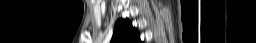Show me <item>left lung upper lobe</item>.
Here are the masks:
<instances>
[{"label": "left lung upper lobe", "instance_id": "obj_1", "mask_svg": "<svg viewBox=\"0 0 256 43\" xmlns=\"http://www.w3.org/2000/svg\"><path fill=\"white\" fill-rule=\"evenodd\" d=\"M111 43H141L140 35L128 19H119L115 24Z\"/></svg>", "mask_w": 256, "mask_h": 43}]
</instances>
